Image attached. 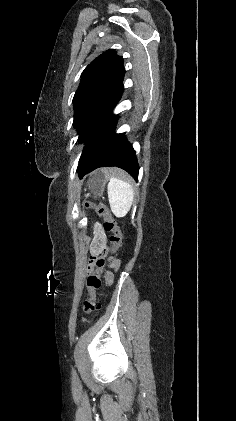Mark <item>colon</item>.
<instances>
[{"label": "colon", "mask_w": 236, "mask_h": 421, "mask_svg": "<svg viewBox=\"0 0 236 421\" xmlns=\"http://www.w3.org/2000/svg\"><path fill=\"white\" fill-rule=\"evenodd\" d=\"M86 208H92L104 220V230L112 232V247L105 249L99 254L93 255L89 263V273L86 278V287L89 292L88 298L83 302V313L85 316L99 310L100 305L97 301L96 293L102 284V275L106 266V258L108 255L114 254L121 246L123 235L120 227L111 215L109 209L103 204H95L91 202L85 203ZM85 322L86 318L83 317Z\"/></svg>", "instance_id": "1"}]
</instances>
